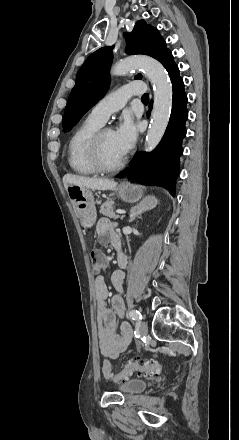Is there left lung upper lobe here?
Masks as SVG:
<instances>
[{
	"instance_id": "1",
	"label": "left lung upper lobe",
	"mask_w": 239,
	"mask_h": 440,
	"mask_svg": "<svg viewBox=\"0 0 239 440\" xmlns=\"http://www.w3.org/2000/svg\"><path fill=\"white\" fill-rule=\"evenodd\" d=\"M125 36L128 54H145L162 62L169 52L158 30L144 20L136 22L132 32ZM112 48L102 47L93 52L79 69L65 108L64 131H69L105 95L110 84L108 73ZM135 78L141 79L142 75L138 74Z\"/></svg>"
}]
</instances>
